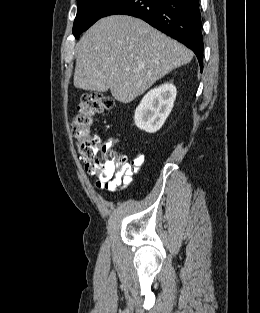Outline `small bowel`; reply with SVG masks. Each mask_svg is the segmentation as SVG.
<instances>
[{"label":"small bowel","instance_id":"obj_1","mask_svg":"<svg viewBox=\"0 0 260 313\" xmlns=\"http://www.w3.org/2000/svg\"><path fill=\"white\" fill-rule=\"evenodd\" d=\"M142 161V154L137 153L136 157L132 161V164L127 166L124 172L118 178L107 182L96 180V187L100 190H107L109 193L114 194L121 188L129 186L132 182V176L134 172L137 170V167L142 163Z\"/></svg>","mask_w":260,"mask_h":313}]
</instances>
